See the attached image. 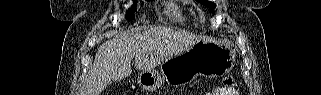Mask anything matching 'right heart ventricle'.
<instances>
[{"instance_id":"right-heart-ventricle-1","label":"right heart ventricle","mask_w":321,"mask_h":95,"mask_svg":"<svg viewBox=\"0 0 321 95\" xmlns=\"http://www.w3.org/2000/svg\"><path fill=\"white\" fill-rule=\"evenodd\" d=\"M183 9L178 5H170L166 10V15L169 18L176 19L178 21L183 20Z\"/></svg>"}]
</instances>
